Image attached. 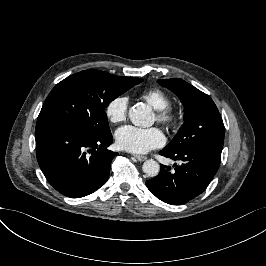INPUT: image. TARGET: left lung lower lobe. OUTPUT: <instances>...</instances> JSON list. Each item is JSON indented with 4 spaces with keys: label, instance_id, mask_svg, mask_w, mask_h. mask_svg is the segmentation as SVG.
<instances>
[{
    "label": "left lung lower lobe",
    "instance_id": "obj_1",
    "mask_svg": "<svg viewBox=\"0 0 266 266\" xmlns=\"http://www.w3.org/2000/svg\"><path fill=\"white\" fill-rule=\"evenodd\" d=\"M222 148L209 145L190 146L179 151L162 149V156L182 161L171 167L161 165L159 174L146 181L147 188L161 201L184 204L200 195L209 185L220 165Z\"/></svg>",
    "mask_w": 266,
    "mask_h": 266
}]
</instances>
